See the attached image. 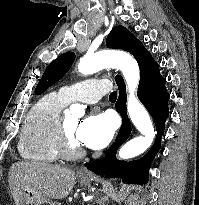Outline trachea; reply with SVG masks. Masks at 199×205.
<instances>
[{"label": "trachea", "mask_w": 199, "mask_h": 205, "mask_svg": "<svg viewBox=\"0 0 199 205\" xmlns=\"http://www.w3.org/2000/svg\"><path fill=\"white\" fill-rule=\"evenodd\" d=\"M109 99L110 100H116L117 99V92L116 91L112 92L109 96Z\"/></svg>", "instance_id": "trachea-1"}]
</instances>
